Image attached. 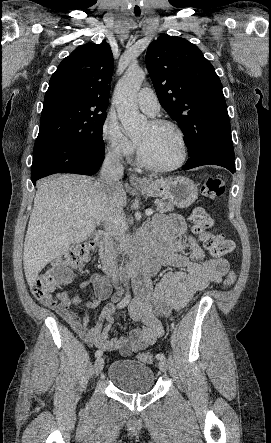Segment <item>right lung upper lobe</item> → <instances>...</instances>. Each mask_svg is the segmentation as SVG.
<instances>
[{
  "mask_svg": "<svg viewBox=\"0 0 271 443\" xmlns=\"http://www.w3.org/2000/svg\"><path fill=\"white\" fill-rule=\"evenodd\" d=\"M113 63V54L106 42L77 47L51 76L44 103L71 100L107 108Z\"/></svg>",
  "mask_w": 271,
  "mask_h": 443,
  "instance_id": "right-lung-upper-lobe-1",
  "label": "right lung upper lobe"
}]
</instances>
